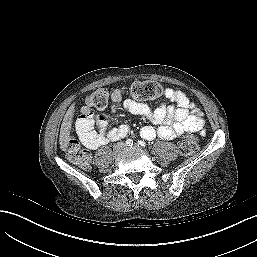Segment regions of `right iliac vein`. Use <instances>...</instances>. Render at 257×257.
<instances>
[{
	"label": "right iliac vein",
	"mask_w": 257,
	"mask_h": 257,
	"mask_svg": "<svg viewBox=\"0 0 257 257\" xmlns=\"http://www.w3.org/2000/svg\"><path fill=\"white\" fill-rule=\"evenodd\" d=\"M124 150V144L120 143L118 145H116L113 149V152L115 155L120 154L122 151Z\"/></svg>",
	"instance_id": "63e3f726"
}]
</instances>
